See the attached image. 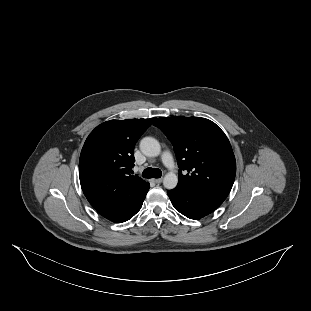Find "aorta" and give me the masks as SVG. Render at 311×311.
I'll return each instance as SVG.
<instances>
[{"instance_id": "1", "label": "aorta", "mask_w": 311, "mask_h": 311, "mask_svg": "<svg viewBox=\"0 0 311 311\" xmlns=\"http://www.w3.org/2000/svg\"><path fill=\"white\" fill-rule=\"evenodd\" d=\"M141 152L151 158H156L161 154V145L154 137H145L140 142ZM178 183V175L174 171H169L165 174L163 185L167 189L174 188Z\"/></svg>"}]
</instances>
